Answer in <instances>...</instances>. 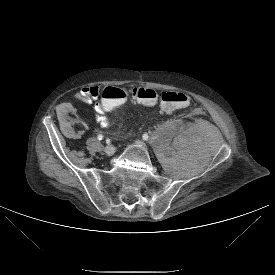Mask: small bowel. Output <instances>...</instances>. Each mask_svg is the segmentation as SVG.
I'll use <instances>...</instances> for the list:
<instances>
[{"label": "small bowel", "mask_w": 275, "mask_h": 275, "mask_svg": "<svg viewBox=\"0 0 275 275\" xmlns=\"http://www.w3.org/2000/svg\"><path fill=\"white\" fill-rule=\"evenodd\" d=\"M101 95V88L96 85L92 86H85L81 88L74 94V98L80 102L86 104L95 103V110H96V120L102 127H108L110 122L107 118V113L103 108L102 102L103 99L99 100ZM58 118L60 119V124L64 134L69 138H78L80 137L81 133L74 126L71 124L70 120L73 118L74 112L72 109L71 104L64 103L60 105L58 112Z\"/></svg>", "instance_id": "1"}]
</instances>
